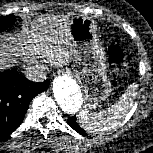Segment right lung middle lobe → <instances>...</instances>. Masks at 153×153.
Returning <instances> with one entry per match:
<instances>
[{
  "label": "right lung middle lobe",
  "instance_id": "1",
  "mask_svg": "<svg viewBox=\"0 0 153 153\" xmlns=\"http://www.w3.org/2000/svg\"><path fill=\"white\" fill-rule=\"evenodd\" d=\"M15 21V16L7 15V16H0V32L7 30L10 28Z\"/></svg>",
  "mask_w": 153,
  "mask_h": 153
}]
</instances>
